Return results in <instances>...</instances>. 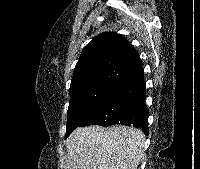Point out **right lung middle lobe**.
<instances>
[{
    "label": "right lung middle lobe",
    "instance_id": "dd1d6c3e",
    "mask_svg": "<svg viewBox=\"0 0 200 169\" xmlns=\"http://www.w3.org/2000/svg\"><path fill=\"white\" fill-rule=\"evenodd\" d=\"M118 82L105 81L91 85L70 98L66 136L79 127L109 97Z\"/></svg>",
    "mask_w": 200,
    "mask_h": 169
}]
</instances>
